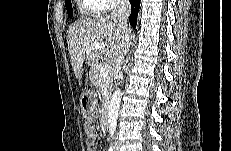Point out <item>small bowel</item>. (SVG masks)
<instances>
[{"label":"small bowel","instance_id":"1","mask_svg":"<svg viewBox=\"0 0 231 151\" xmlns=\"http://www.w3.org/2000/svg\"><path fill=\"white\" fill-rule=\"evenodd\" d=\"M85 142L88 151H93L96 143V133L93 126V117L89 116L84 123Z\"/></svg>","mask_w":231,"mask_h":151}]
</instances>
